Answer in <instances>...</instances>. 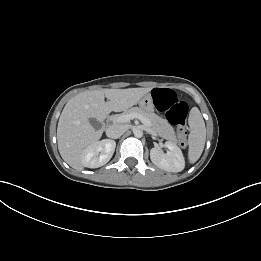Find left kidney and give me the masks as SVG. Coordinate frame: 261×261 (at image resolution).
<instances>
[{
  "label": "left kidney",
  "mask_w": 261,
  "mask_h": 261,
  "mask_svg": "<svg viewBox=\"0 0 261 261\" xmlns=\"http://www.w3.org/2000/svg\"><path fill=\"white\" fill-rule=\"evenodd\" d=\"M167 153L158 148L150 150L151 161L159 168L168 172H180L185 167V160L181 149L172 142H166Z\"/></svg>",
  "instance_id": "obj_1"
}]
</instances>
